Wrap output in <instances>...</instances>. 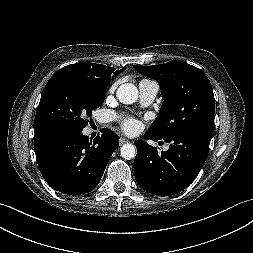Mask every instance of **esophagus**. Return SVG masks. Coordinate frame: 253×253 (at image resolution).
<instances>
[{
	"mask_svg": "<svg viewBox=\"0 0 253 253\" xmlns=\"http://www.w3.org/2000/svg\"><path fill=\"white\" fill-rule=\"evenodd\" d=\"M127 142H129V140L126 139V138H123V137H121L120 140H119L120 145H123V144H125Z\"/></svg>",
	"mask_w": 253,
	"mask_h": 253,
	"instance_id": "esophagus-1",
	"label": "esophagus"
}]
</instances>
